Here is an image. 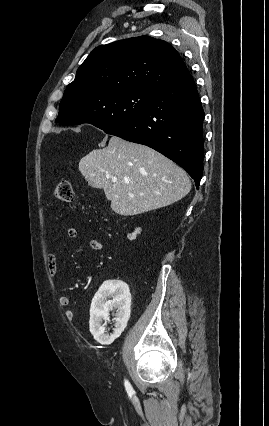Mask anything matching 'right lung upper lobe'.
I'll use <instances>...</instances> for the list:
<instances>
[{
	"label": "right lung upper lobe",
	"instance_id": "1",
	"mask_svg": "<svg viewBox=\"0 0 269 426\" xmlns=\"http://www.w3.org/2000/svg\"><path fill=\"white\" fill-rule=\"evenodd\" d=\"M189 74L170 44L149 36L134 37L95 48L78 68L64 96L91 98L126 90L155 92Z\"/></svg>",
	"mask_w": 269,
	"mask_h": 426
}]
</instances>
